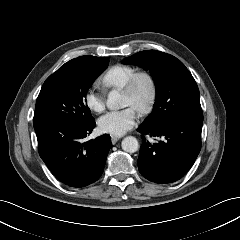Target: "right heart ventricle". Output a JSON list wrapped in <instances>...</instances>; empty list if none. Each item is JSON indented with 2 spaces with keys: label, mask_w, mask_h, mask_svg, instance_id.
<instances>
[{
  "label": "right heart ventricle",
  "mask_w": 240,
  "mask_h": 240,
  "mask_svg": "<svg viewBox=\"0 0 240 240\" xmlns=\"http://www.w3.org/2000/svg\"><path fill=\"white\" fill-rule=\"evenodd\" d=\"M135 71L136 69L130 65L115 64L102 74L100 82L106 89H122Z\"/></svg>",
  "instance_id": "1"
}]
</instances>
